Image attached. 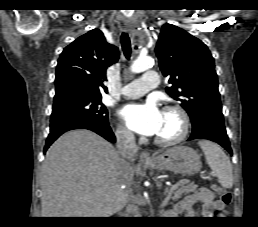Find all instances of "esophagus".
I'll use <instances>...</instances> for the list:
<instances>
[{
  "label": "esophagus",
  "mask_w": 258,
  "mask_h": 227,
  "mask_svg": "<svg viewBox=\"0 0 258 227\" xmlns=\"http://www.w3.org/2000/svg\"><path fill=\"white\" fill-rule=\"evenodd\" d=\"M125 27L131 32H133L135 30V28L128 23L125 24ZM139 159L141 162H151L153 160L148 151H142Z\"/></svg>",
  "instance_id": "1"
}]
</instances>
